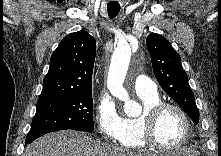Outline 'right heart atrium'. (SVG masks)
<instances>
[{
	"label": "right heart atrium",
	"instance_id": "right-heart-atrium-1",
	"mask_svg": "<svg viewBox=\"0 0 221 156\" xmlns=\"http://www.w3.org/2000/svg\"><path fill=\"white\" fill-rule=\"evenodd\" d=\"M95 123L100 136L109 142L117 141L122 128V118L112 97L102 92L95 107Z\"/></svg>",
	"mask_w": 221,
	"mask_h": 156
}]
</instances>
